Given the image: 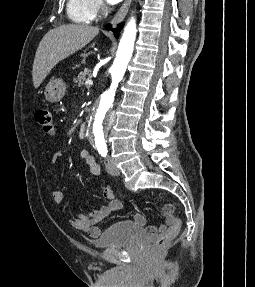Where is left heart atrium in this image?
Returning <instances> with one entry per match:
<instances>
[{"label": "left heart atrium", "instance_id": "obj_1", "mask_svg": "<svg viewBox=\"0 0 255 287\" xmlns=\"http://www.w3.org/2000/svg\"><path fill=\"white\" fill-rule=\"evenodd\" d=\"M74 33H85V32H74ZM74 39H86V38H74Z\"/></svg>", "mask_w": 255, "mask_h": 287}]
</instances>
